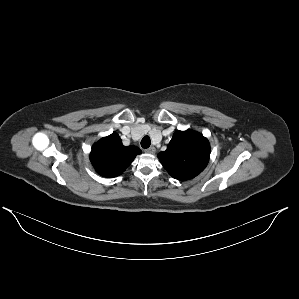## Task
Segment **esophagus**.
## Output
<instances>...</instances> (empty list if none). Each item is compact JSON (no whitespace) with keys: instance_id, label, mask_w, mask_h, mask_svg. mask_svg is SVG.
Listing matches in <instances>:
<instances>
[{"instance_id":"obj_1","label":"esophagus","mask_w":299,"mask_h":299,"mask_svg":"<svg viewBox=\"0 0 299 299\" xmlns=\"http://www.w3.org/2000/svg\"><path fill=\"white\" fill-rule=\"evenodd\" d=\"M145 151L149 154H153V153H155L156 149H155V147H149Z\"/></svg>"}]
</instances>
